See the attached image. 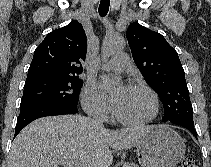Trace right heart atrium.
I'll list each match as a JSON object with an SVG mask.
<instances>
[{"instance_id":"d8ad5b80","label":"right heart atrium","mask_w":211,"mask_h":167,"mask_svg":"<svg viewBox=\"0 0 211 167\" xmlns=\"http://www.w3.org/2000/svg\"><path fill=\"white\" fill-rule=\"evenodd\" d=\"M82 103L85 110L98 117H106L109 108L105 100L97 93L92 82L87 83L82 93Z\"/></svg>"}]
</instances>
